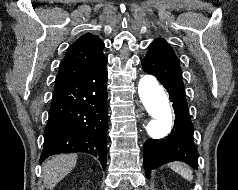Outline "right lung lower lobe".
<instances>
[{
    "mask_svg": "<svg viewBox=\"0 0 238 190\" xmlns=\"http://www.w3.org/2000/svg\"><path fill=\"white\" fill-rule=\"evenodd\" d=\"M106 63L55 88L41 162L53 154L81 151L94 155L106 167Z\"/></svg>",
    "mask_w": 238,
    "mask_h": 190,
    "instance_id": "right-lung-lower-lobe-1",
    "label": "right lung lower lobe"
}]
</instances>
